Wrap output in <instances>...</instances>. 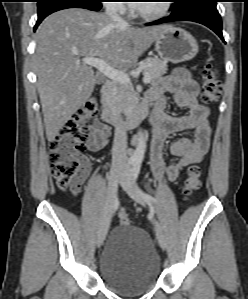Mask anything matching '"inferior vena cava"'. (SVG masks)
<instances>
[{"label": "inferior vena cava", "instance_id": "inferior-vena-cava-1", "mask_svg": "<svg viewBox=\"0 0 248 299\" xmlns=\"http://www.w3.org/2000/svg\"><path fill=\"white\" fill-rule=\"evenodd\" d=\"M123 7L120 4H108L106 6V15L119 25L127 24L118 14ZM115 134L112 147V166L125 167L127 165V132L122 124V118L119 113L116 114Z\"/></svg>", "mask_w": 248, "mask_h": 299}]
</instances>
